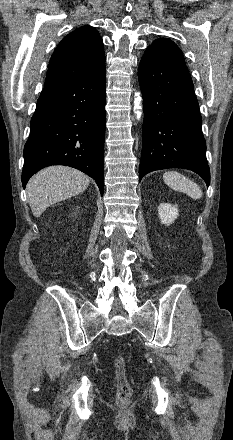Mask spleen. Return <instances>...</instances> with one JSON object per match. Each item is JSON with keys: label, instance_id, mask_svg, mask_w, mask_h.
Returning a JSON list of instances; mask_svg holds the SVG:
<instances>
[{"label": "spleen", "instance_id": "obj_1", "mask_svg": "<svg viewBox=\"0 0 233 440\" xmlns=\"http://www.w3.org/2000/svg\"><path fill=\"white\" fill-rule=\"evenodd\" d=\"M166 185L172 189L187 194L192 199H200L203 195L201 188L193 181L177 171H167L163 174Z\"/></svg>", "mask_w": 233, "mask_h": 440}]
</instances>
